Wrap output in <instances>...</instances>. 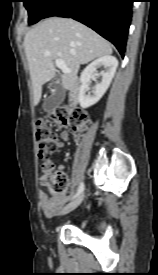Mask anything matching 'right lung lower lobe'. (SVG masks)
<instances>
[{
    "mask_svg": "<svg viewBox=\"0 0 158 275\" xmlns=\"http://www.w3.org/2000/svg\"><path fill=\"white\" fill-rule=\"evenodd\" d=\"M134 0H58L43 18H73L112 42L122 57L125 52Z\"/></svg>",
    "mask_w": 158,
    "mask_h": 275,
    "instance_id": "1",
    "label": "right lung lower lobe"
}]
</instances>
